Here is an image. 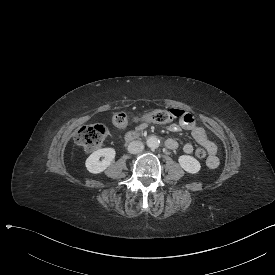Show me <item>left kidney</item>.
I'll return each instance as SVG.
<instances>
[{"mask_svg": "<svg viewBox=\"0 0 275 275\" xmlns=\"http://www.w3.org/2000/svg\"><path fill=\"white\" fill-rule=\"evenodd\" d=\"M178 163L185 172L192 175L197 174L202 168L200 162L193 156L189 155L179 156Z\"/></svg>", "mask_w": 275, "mask_h": 275, "instance_id": "obj_1", "label": "left kidney"}]
</instances>
